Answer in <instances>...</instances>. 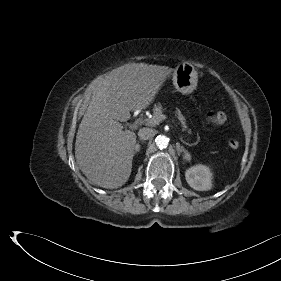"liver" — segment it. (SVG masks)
Masks as SVG:
<instances>
[{
	"instance_id": "6515ba94",
	"label": "liver",
	"mask_w": 281,
	"mask_h": 281,
	"mask_svg": "<svg viewBox=\"0 0 281 281\" xmlns=\"http://www.w3.org/2000/svg\"><path fill=\"white\" fill-rule=\"evenodd\" d=\"M172 71L166 66L132 63L96 79L75 142L76 162L93 184L115 189L127 182L136 134L124 131L120 122L130 118V111L147 108Z\"/></svg>"
}]
</instances>
